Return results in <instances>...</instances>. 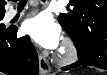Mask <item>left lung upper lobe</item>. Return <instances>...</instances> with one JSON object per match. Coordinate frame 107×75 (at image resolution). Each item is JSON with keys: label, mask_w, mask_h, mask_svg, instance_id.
<instances>
[{"label": "left lung upper lobe", "mask_w": 107, "mask_h": 75, "mask_svg": "<svg viewBox=\"0 0 107 75\" xmlns=\"http://www.w3.org/2000/svg\"><path fill=\"white\" fill-rule=\"evenodd\" d=\"M68 5L72 10L68 14L61 13L58 21L72 38L78 58H85L93 50L88 39L90 31L100 22L107 26V0H70Z\"/></svg>", "instance_id": "left-lung-upper-lobe-1"}]
</instances>
